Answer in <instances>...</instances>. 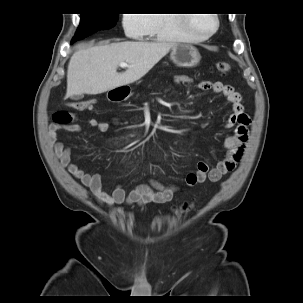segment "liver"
<instances>
[{
  "label": "liver",
  "instance_id": "obj_1",
  "mask_svg": "<svg viewBox=\"0 0 303 303\" xmlns=\"http://www.w3.org/2000/svg\"><path fill=\"white\" fill-rule=\"evenodd\" d=\"M176 44L124 41L80 48L68 64L66 98L96 95L133 83L146 75ZM127 69L118 73L120 63Z\"/></svg>",
  "mask_w": 303,
  "mask_h": 303
}]
</instances>
